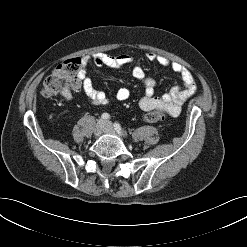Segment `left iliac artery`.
<instances>
[{
    "label": "left iliac artery",
    "instance_id": "44dca946",
    "mask_svg": "<svg viewBox=\"0 0 247 247\" xmlns=\"http://www.w3.org/2000/svg\"><path fill=\"white\" fill-rule=\"evenodd\" d=\"M114 129L119 133V134H123V130L120 126L119 123H114Z\"/></svg>",
    "mask_w": 247,
    "mask_h": 247
}]
</instances>
